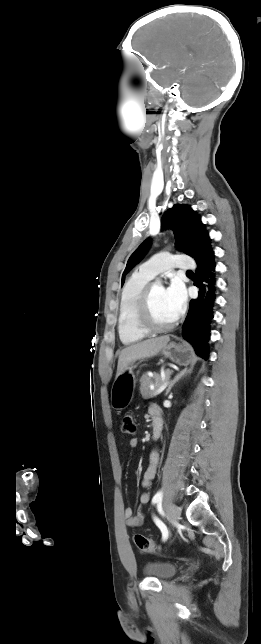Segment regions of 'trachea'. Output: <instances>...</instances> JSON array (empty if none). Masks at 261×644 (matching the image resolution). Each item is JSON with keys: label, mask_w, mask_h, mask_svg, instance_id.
<instances>
[{"label": "trachea", "mask_w": 261, "mask_h": 644, "mask_svg": "<svg viewBox=\"0 0 261 644\" xmlns=\"http://www.w3.org/2000/svg\"><path fill=\"white\" fill-rule=\"evenodd\" d=\"M187 273L193 274V272H192V271H187Z\"/></svg>", "instance_id": "obj_1"}]
</instances>
